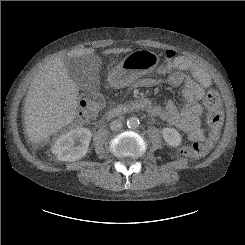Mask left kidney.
Segmentation results:
<instances>
[{
  "mask_svg": "<svg viewBox=\"0 0 245 245\" xmlns=\"http://www.w3.org/2000/svg\"><path fill=\"white\" fill-rule=\"evenodd\" d=\"M162 135L166 143L170 146L176 147L181 144V135L175 128H163Z\"/></svg>",
  "mask_w": 245,
  "mask_h": 245,
  "instance_id": "left-kidney-1",
  "label": "left kidney"
}]
</instances>
